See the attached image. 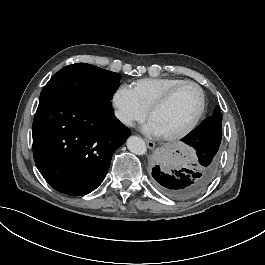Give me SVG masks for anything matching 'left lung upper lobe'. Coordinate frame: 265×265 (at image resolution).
Listing matches in <instances>:
<instances>
[{
    "label": "left lung upper lobe",
    "mask_w": 265,
    "mask_h": 265,
    "mask_svg": "<svg viewBox=\"0 0 265 265\" xmlns=\"http://www.w3.org/2000/svg\"><path fill=\"white\" fill-rule=\"evenodd\" d=\"M200 125H204L208 129H214V132L222 133V115L220 108L216 107L212 115L207 117Z\"/></svg>",
    "instance_id": "obj_1"
}]
</instances>
